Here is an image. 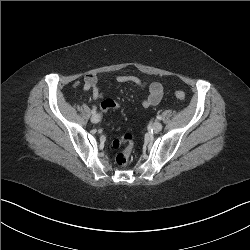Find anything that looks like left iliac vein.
I'll return each mask as SVG.
<instances>
[{
    "label": "left iliac vein",
    "instance_id": "left-iliac-vein-1",
    "mask_svg": "<svg viewBox=\"0 0 250 250\" xmlns=\"http://www.w3.org/2000/svg\"><path fill=\"white\" fill-rule=\"evenodd\" d=\"M162 124L160 122H154L152 124V129L155 133L160 132L162 130Z\"/></svg>",
    "mask_w": 250,
    "mask_h": 250
}]
</instances>
